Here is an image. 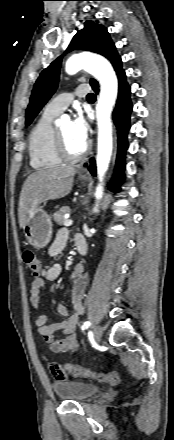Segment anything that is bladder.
<instances>
[{
	"label": "bladder",
	"mask_w": 174,
	"mask_h": 440,
	"mask_svg": "<svg viewBox=\"0 0 174 440\" xmlns=\"http://www.w3.org/2000/svg\"><path fill=\"white\" fill-rule=\"evenodd\" d=\"M52 388L59 399L71 401L87 400L99 391V386L81 381L56 382Z\"/></svg>",
	"instance_id": "bladder-1"
}]
</instances>
